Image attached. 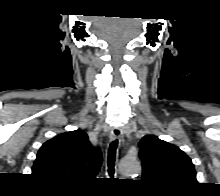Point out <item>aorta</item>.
Segmentation results:
<instances>
[{"instance_id":"aorta-1","label":"aorta","mask_w":220,"mask_h":196,"mask_svg":"<svg viewBox=\"0 0 220 196\" xmlns=\"http://www.w3.org/2000/svg\"><path fill=\"white\" fill-rule=\"evenodd\" d=\"M141 170L137 160L123 159L119 164V171L123 176H131Z\"/></svg>"}]
</instances>
